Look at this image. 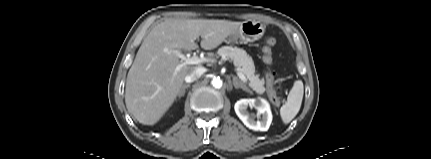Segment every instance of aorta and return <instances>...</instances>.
I'll use <instances>...</instances> for the list:
<instances>
[{"label":"aorta","mask_w":431,"mask_h":159,"mask_svg":"<svg viewBox=\"0 0 431 159\" xmlns=\"http://www.w3.org/2000/svg\"><path fill=\"white\" fill-rule=\"evenodd\" d=\"M211 84L214 88H221L223 85L222 80L219 77H214L211 81Z\"/></svg>","instance_id":"aorta-1"}]
</instances>
